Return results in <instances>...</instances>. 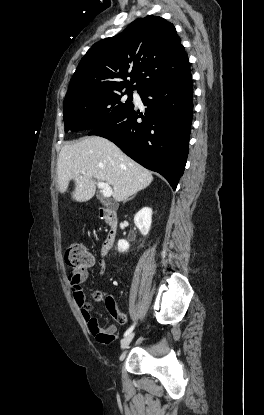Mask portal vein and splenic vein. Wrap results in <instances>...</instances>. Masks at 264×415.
Listing matches in <instances>:
<instances>
[{
  "instance_id": "1",
  "label": "portal vein and splenic vein",
  "mask_w": 264,
  "mask_h": 415,
  "mask_svg": "<svg viewBox=\"0 0 264 415\" xmlns=\"http://www.w3.org/2000/svg\"><path fill=\"white\" fill-rule=\"evenodd\" d=\"M82 173H84V172H82ZM97 186L101 190L102 195L105 198H109L110 196H112L113 190H112V188L110 187L109 184H107L105 182H98Z\"/></svg>"
}]
</instances>
